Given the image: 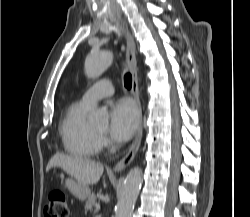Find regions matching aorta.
I'll list each match as a JSON object with an SVG mask.
<instances>
[{
  "instance_id": "aorta-1",
  "label": "aorta",
  "mask_w": 250,
  "mask_h": 217,
  "mask_svg": "<svg viewBox=\"0 0 250 217\" xmlns=\"http://www.w3.org/2000/svg\"><path fill=\"white\" fill-rule=\"evenodd\" d=\"M112 54L108 51H96L90 53L85 60V73L90 78L99 77L111 64ZM96 123L105 124L108 122L107 113L98 109L92 115ZM142 171L140 168H133L127 174L123 189L118 199L115 217H131L137 197L142 184Z\"/></svg>"
}]
</instances>
